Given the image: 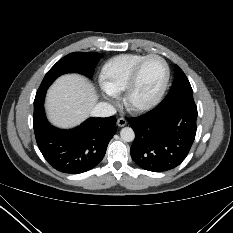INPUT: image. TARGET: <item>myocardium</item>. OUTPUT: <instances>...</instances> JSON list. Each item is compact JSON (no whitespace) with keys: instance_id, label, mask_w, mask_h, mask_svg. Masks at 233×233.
I'll use <instances>...</instances> for the list:
<instances>
[{"instance_id":"obj_1","label":"myocardium","mask_w":233,"mask_h":233,"mask_svg":"<svg viewBox=\"0 0 233 233\" xmlns=\"http://www.w3.org/2000/svg\"><path fill=\"white\" fill-rule=\"evenodd\" d=\"M152 58H156L159 59L164 67H165V78L164 81L160 87V89L157 91V93L148 101H144V102H139L136 101L134 98L135 95V91L137 88V84H138V80H139V75L141 72V69L143 67V65L146 63V61H148L149 59ZM169 81H170V68L168 63L166 62V60L161 57L160 55L157 54H149L146 55L144 58H142L137 65L135 66V68L133 69L128 84L126 86V89L124 90V102L125 105L127 106V108L131 111L134 112H144V111H148L152 108H154L156 105L159 104V102L162 100L163 96L166 93V90L168 88L169 85Z\"/></svg>"}]
</instances>
